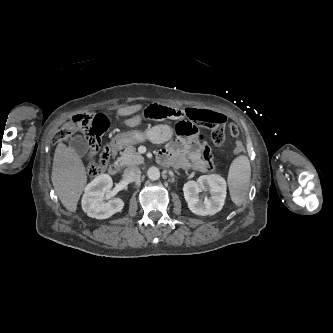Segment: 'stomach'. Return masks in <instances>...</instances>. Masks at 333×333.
Here are the masks:
<instances>
[{
  "mask_svg": "<svg viewBox=\"0 0 333 333\" xmlns=\"http://www.w3.org/2000/svg\"><path fill=\"white\" fill-rule=\"evenodd\" d=\"M173 131L168 125H156L148 127L144 132L131 130L117 134L112 139L115 147L121 148L132 144L142 143L150 140L153 143L162 144L172 139Z\"/></svg>",
  "mask_w": 333,
  "mask_h": 333,
  "instance_id": "0dacf381",
  "label": "stomach"
}]
</instances>
